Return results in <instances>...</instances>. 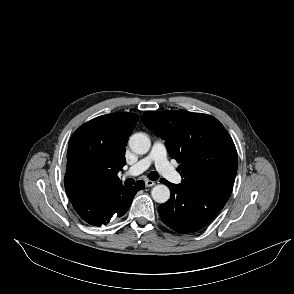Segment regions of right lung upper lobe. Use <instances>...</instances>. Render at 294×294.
<instances>
[{"label":"right lung upper lobe","instance_id":"obj_1","mask_svg":"<svg viewBox=\"0 0 294 294\" xmlns=\"http://www.w3.org/2000/svg\"><path fill=\"white\" fill-rule=\"evenodd\" d=\"M137 121L136 114L117 112L99 116L74 132L64 177L74 209L97 204L123 187L117 174L126 164L125 146Z\"/></svg>","mask_w":294,"mask_h":294}]
</instances>
